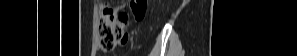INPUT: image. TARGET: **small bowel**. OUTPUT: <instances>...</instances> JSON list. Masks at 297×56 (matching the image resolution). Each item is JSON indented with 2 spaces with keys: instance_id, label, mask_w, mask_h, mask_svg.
<instances>
[{
  "instance_id": "small-bowel-1",
  "label": "small bowel",
  "mask_w": 297,
  "mask_h": 56,
  "mask_svg": "<svg viewBox=\"0 0 297 56\" xmlns=\"http://www.w3.org/2000/svg\"><path fill=\"white\" fill-rule=\"evenodd\" d=\"M129 38H131V33H121V36H119V45H121V49H126Z\"/></svg>"
}]
</instances>
